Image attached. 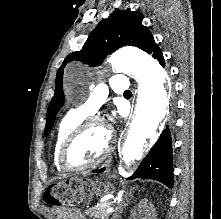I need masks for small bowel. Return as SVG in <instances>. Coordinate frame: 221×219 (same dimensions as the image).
<instances>
[{"label": "small bowel", "mask_w": 221, "mask_h": 219, "mask_svg": "<svg viewBox=\"0 0 221 219\" xmlns=\"http://www.w3.org/2000/svg\"><path fill=\"white\" fill-rule=\"evenodd\" d=\"M59 219H87L77 208H58Z\"/></svg>", "instance_id": "c3829d8e"}]
</instances>
